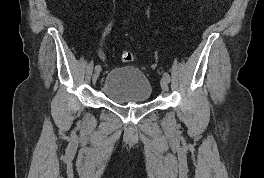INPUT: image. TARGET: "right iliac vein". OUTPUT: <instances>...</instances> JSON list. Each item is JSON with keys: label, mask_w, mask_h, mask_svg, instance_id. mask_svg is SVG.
<instances>
[{"label": "right iliac vein", "mask_w": 264, "mask_h": 178, "mask_svg": "<svg viewBox=\"0 0 264 178\" xmlns=\"http://www.w3.org/2000/svg\"><path fill=\"white\" fill-rule=\"evenodd\" d=\"M99 74L100 72L99 71H96L94 74H93V77H92V82L93 83H96L98 77H99Z\"/></svg>", "instance_id": "1"}]
</instances>
